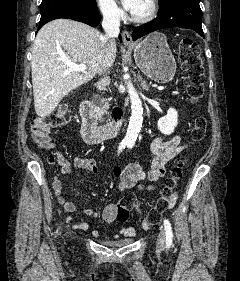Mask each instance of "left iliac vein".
Wrapping results in <instances>:
<instances>
[{
    "instance_id": "1",
    "label": "left iliac vein",
    "mask_w": 240,
    "mask_h": 281,
    "mask_svg": "<svg viewBox=\"0 0 240 281\" xmlns=\"http://www.w3.org/2000/svg\"><path fill=\"white\" fill-rule=\"evenodd\" d=\"M165 239H166V232L165 229L161 227L156 243L157 251H162L164 249V245L166 241Z\"/></svg>"
}]
</instances>
